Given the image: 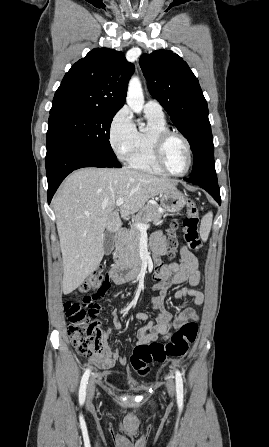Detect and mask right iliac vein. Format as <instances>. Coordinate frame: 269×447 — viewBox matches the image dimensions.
Instances as JSON below:
<instances>
[{"label": "right iliac vein", "mask_w": 269, "mask_h": 447, "mask_svg": "<svg viewBox=\"0 0 269 447\" xmlns=\"http://www.w3.org/2000/svg\"><path fill=\"white\" fill-rule=\"evenodd\" d=\"M95 381H96V378L93 377L90 379L89 384H88L87 395H88L89 402L93 399V395L95 392Z\"/></svg>", "instance_id": "obj_1"}]
</instances>
